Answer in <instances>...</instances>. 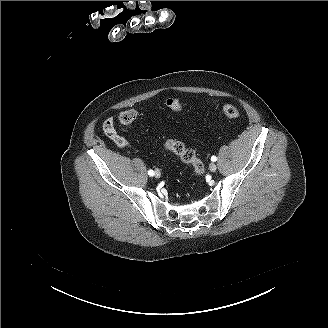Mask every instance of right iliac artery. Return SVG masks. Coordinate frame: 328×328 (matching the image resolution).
Here are the masks:
<instances>
[{"instance_id":"1","label":"right iliac artery","mask_w":328,"mask_h":328,"mask_svg":"<svg viewBox=\"0 0 328 328\" xmlns=\"http://www.w3.org/2000/svg\"><path fill=\"white\" fill-rule=\"evenodd\" d=\"M148 174H149L150 176H154V171H153V170H149V171H148Z\"/></svg>"}]
</instances>
